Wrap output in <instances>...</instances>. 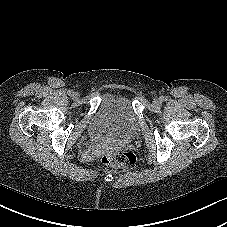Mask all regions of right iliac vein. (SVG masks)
Wrapping results in <instances>:
<instances>
[{
  "mask_svg": "<svg viewBox=\"0 0 227 227\" xmlns=\"http://www.w3.org/2000/svg\"><path fill=\"white\" fill-rule=\"evenodd\" d=\"M79 97H80V95H79L78 93H74L73 96H72V98H73L74 100L79 99Z\"/></svg>",
  "mask_w": 227,
  "mask_h": 227,
  "instance_id": "obj_1",
  "label": "right iliac vein"
}]
</instances>
